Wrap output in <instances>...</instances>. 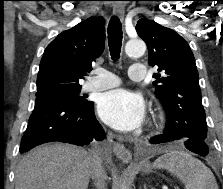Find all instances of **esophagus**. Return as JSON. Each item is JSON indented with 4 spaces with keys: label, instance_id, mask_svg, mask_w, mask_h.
Returning a JSON list of instances; mask_svg holds the SVG:
<instances>
[{
    "label": "esophagus",
    "instance_id": "obj_1",
    "mask_svg": "<svg viewBox=\"0 0 223 189\" xmlns=\"http://www.w3.org/2000/svg\"><path fill=\"white\" fill-rule=\"evenodd\" d=\"M124 12L123 4L117 2L113 5V14L120 20H123ZM113 152L123 163H129L132 159L131 152L120 142H113Z\"/></svg>",
    "mask_w": 223,
    "mask_h": 189
}]
</instances>
